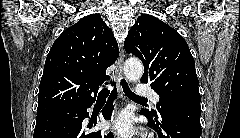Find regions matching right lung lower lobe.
<instances>
[{"mask_svg":"<svg viewBox=\"0 0 240 138\" xmlns=\"http://www.w3.org/2000/svg\"><path fill=\"white\" fill-rule=\"evenodd\" d=\"M115 86V85H114ZM116 88L111 92L109 101L102 110L105 119L111 118L112 102L116 97ZM94 100L84 104L61 108L45 114L37 115L33 138H113L110 132H88L82 122L89 116L87 108Z\"/></svg>","mask_w":240,"mask_h":138,"instance_id":"obj_1","label":"right lung lower lobe"}]
</instances>
